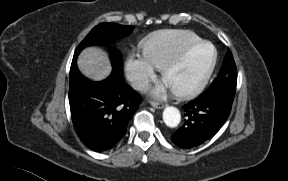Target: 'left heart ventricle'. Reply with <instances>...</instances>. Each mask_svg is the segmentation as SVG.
<instances>
[{
    "label": "left heart ventricle",
    "instance_id": "1",
    "mask_svg": "<svg viewBox=\"0 0 288 181\" xmlns=\"http://www.w3.org/2000/svg\"><path fill=\"white\" fill-rule=\"evenodd\" d=\"M213 56L214 50L209 45L197 49L165 77V82L171 89L186 88L195 84L208 71Z\"/></svg>",
    "mask_w": 288,
    "mask_h": 181
}]
</instances>
